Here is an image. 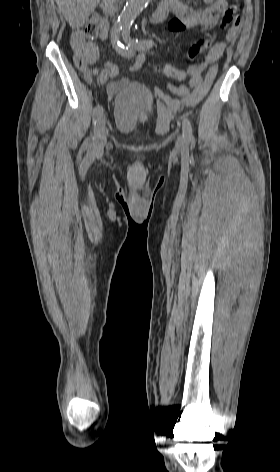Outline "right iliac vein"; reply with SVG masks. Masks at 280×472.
Here are the masks:
<instances>
[{"instance_id": "1", "label": "right iliac vein", "mask_w": 280, "mask_h": 472, "mask_svg": "<svg viewBox=\"0 0 280 472\" xmlns=\"http://www.w3.org/2000/svg\"><path fill=\"white\" fill-rule=\"evenodd\" d=\"M106 121L105 115H101L98 120L97 127L95 129L94 143H93V154L98 155L103 151L104 145L106 143Z\"/></svg>"}]
</instances>
